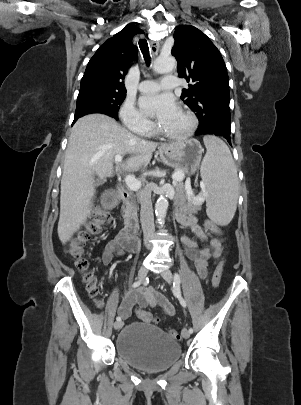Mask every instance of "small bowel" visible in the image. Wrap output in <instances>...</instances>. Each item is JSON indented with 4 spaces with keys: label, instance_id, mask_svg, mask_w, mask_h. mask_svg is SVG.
Returning a JSON list of instances; mask_svg holds the SVG:
<instances>
[{
    "label": "small bowel",
    "instance_id": "small-bowel-1",
    "mask_svg": "<svg viewBox=\"0 0 301 405\" xmlns=\"http://www.w3.org/2000/svg\"><path fill=\"white\" fill-rule=\"evenodd\" d=\"M176 218L180 224L192 231L198 241L206 244L204 247H200L197 240L188 236L181 237L191 266L201 278H206L209 261L220 257L223 252V242L219 238L209 239L206 231L197 223L196 216L185 206H180L176 210ZM125 251L127 250L122 246L121 233L119 232L106 243L101 255V261L104 265H109L116 256L122 255ZM136 305L158 306L167 315L174 313V308L166 296L153 288H142L127 292L122 299L118 312L124 319H128Z\"/></svg>",
    "mask_w": 301,
    "mask_h": 405
}]
</instances>
